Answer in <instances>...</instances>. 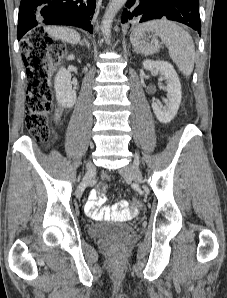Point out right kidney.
I'll return each mask as SVG.
<instances>
[{
    "label": "right kidney",
    "instance_id": "ca27d5eb",
    "mask_svg": "<svg viewBox=\"0 0 227 298\" xmlns=\"http://www.w3.org/2000/svg\"><path fill=\"white\" fill-rule=\"evenodd\" d=\"M68 60H73L74 55H69ZM54 88L56 92V99L58 103L67 108H72L76 102V92L72 89L71 74L64 67L58 71Z\"/></svg>",
    "mask_w": 227,
    "mask_h": 298
}]
</instances>
